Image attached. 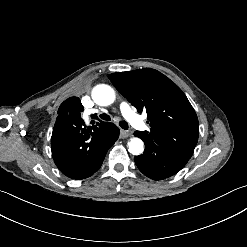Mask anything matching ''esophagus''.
<instances>
[{
  "mask_svg": "<svg viewBox=\"0 0 247 247\" xmlns=\"http://www.w3.org/2000/svg\"><path fill=\"white\" fill-rule=\"evenodd\" d=\"M129 136V132L128 131H126V130H121L120 131V138L121 139H125V138H127Z\"/></svg>",
  "mask_w": 247,
  "mask_h": 247,
  "instance_id": "esophagus-1",
  "label": "esophagus"
}]
</instances>
